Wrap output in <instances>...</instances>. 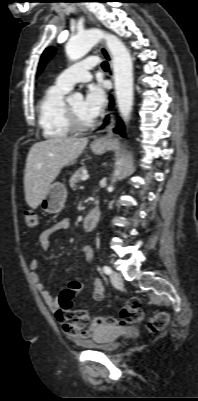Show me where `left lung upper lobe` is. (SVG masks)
Here are the masks:
<instances>
[{"instance_id": "obj_1", "label": "left lung upper lobe", "mask_w": 198, "mask_h": 401, "mask_svg": "<svg viewBox=\"0 0 198 401\" xmlns=\"http://www.w3.org/2000/svg\"><path fill=\"white\" fill-rule=\"evenodd\" d=\"M55 53V48L49 47L46 48L45 51L43 52L40 63H39V72L42 71L44 68L45 64L50 60V58L54 55Z\"/></svg>"}]
</instances>
